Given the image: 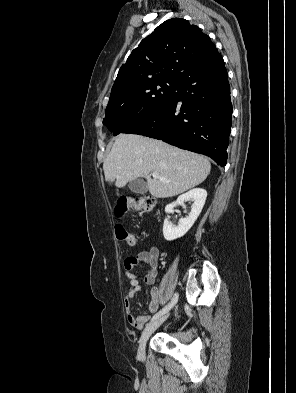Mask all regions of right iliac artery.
<instances>
[{
  "label": "right iliac artery",
  "mask_w": 296,
  "mask_h": 393,
  "mask_svg": "<svg viewBox=\"0 0 296 393\" xmlns=\"http://www.w3.org/2000/svg\"><path fill=\"white\" fill-rule=\"evenodd\" d=\"M178 301V293H175L171 302L166 305L164 308H162L159 312H157L151 319V321H154L156 319H158L159 317H161L162 315H164L165 313H167Z\"/></svg>",
  "instance_id": "82829eb1"
}]
</instances>
